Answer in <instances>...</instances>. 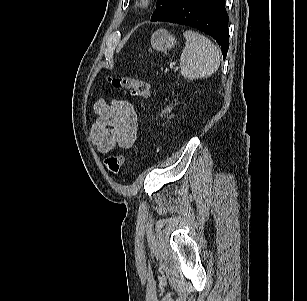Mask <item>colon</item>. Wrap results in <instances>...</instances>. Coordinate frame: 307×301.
<instances>
[{
  "mask_svg": "<svg viewBox=\"0 0 307 301\" xmlns=\"http://www.w3.org/2000/svg\"><path fill=\"white\" fill-rule=\"evenodd\" d=\"M110 83L118 89L129 90L135 98H148L150 96V86L148 82L142 79L133 78L130 76L110 77ZM108 169L117 174L125 163V156L118 154L109 157L105 161Z\"/></svg>",
  "mask_w": 307,
  "mask_h": 301,
  "instance_id": "1",
  "label": "colon"
}]
</instances>
